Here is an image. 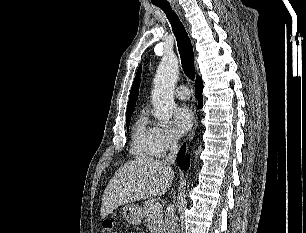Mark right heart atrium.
<instances>
[{"label":"right heart atrium","instance_id":"1","mask_svg":"<svg viewBox=\"0 0 306 233\" xmlns=\"http://www.w3.org/2000/svg\"><path fill=\"white\" fill-rule=\"evenodd\" d=\"M178 142V136L171 128L159 126L153 128V146L155 156L163 157L166 153L175 149Z\"/></svg>","mask_w":306,"mask_h":233}]
</instances>
